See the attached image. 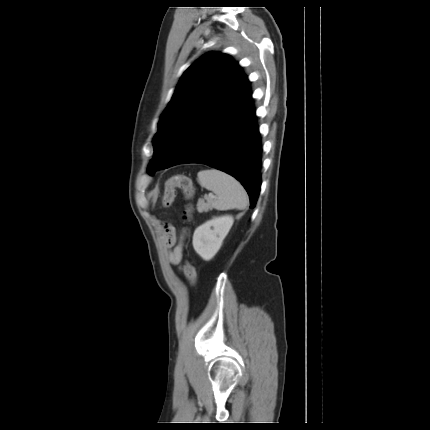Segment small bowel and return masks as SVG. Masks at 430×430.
<instances>
[{
  "instance_id": "c3829d8e",
  "label": "small bowel",
  "mask_w": 430,
  "mask_h": 430,
  "mask_svg": "<svg viewBox=\"0 0 430 430\" xmlns=\"http://www.w3.org/2000/svg\"><path fill=\"white\" fill-rule=\"evenodd\" d=\"M162 239L166 249L168 262L172 265H179L182 259V242L178 240L176 229L167 223L163 227Z\"/></svg>"
}]
</instances>
